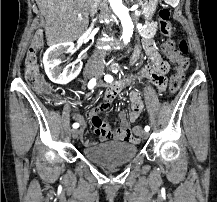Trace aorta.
<instances>
[{"label":"aorta","instance_id":"obj_1","mask_svg":"<svg viewBox=\"0 0 217 202\" xmlns=\"http://www.w3.org/2000/svg\"><path fill=\"white\" fill-rule=\"evenodd\" d=\"M111 10L118 16L122 24V38L124 44L130 42V38L133 36V22L129 16L128 8H125L122 4V0H108Z\"/></svg>","mask_w":217,"mask_h":202}]
</instances>
